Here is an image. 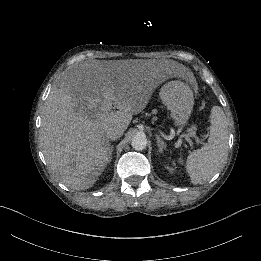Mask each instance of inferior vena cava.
<instances>
[{"instance_id":"inferior-vena-cava-1","label":"inferior vena cava","mask_w":261,"mask_h":261,"mask_svg":"<svg viewBox=\"0 0 261 261\" xmlns=\"http://www.w3.org/2000/svg\"><path fill=\"white\" fill-rule=\"evenodd\" d=\"M124 133V129L121 128H113L110 131L107 132V137L110 140H116L120 138Z\"/></svg>"}]
</instances>
